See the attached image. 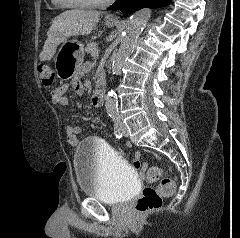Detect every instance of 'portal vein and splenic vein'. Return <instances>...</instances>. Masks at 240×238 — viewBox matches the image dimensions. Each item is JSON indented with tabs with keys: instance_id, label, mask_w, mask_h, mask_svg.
I'll list each match as a JSON object with an SVG mask.
<instances>
[{
	"instance_id": "18ae733b",
	"label": "portal vein and splenic vein",
	"mask_w": 240,
	"mask_h": 238,
	"mask_svg": "<svg viewBox=\"0 0 240 238\" xmlns=\"http://www.w3.org/2000/svg\"><path fill=\"white\" fill-rule=\"evenodd\" d=\"M98 55H99L98 51H93L92 56H93L94 58H97Z\"/></svg>"
}]
</instances>
